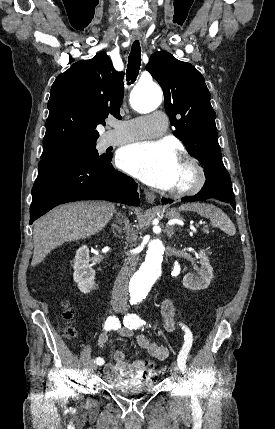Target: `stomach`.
Returning a JSON list of instances; mask_svg holds the SVG:
<instances>
[{
  "mask_svg": "<svg viewBox=\"0 0 275 429\" xmlns=\"http://www.w3.org/2000/svg\"><path fill=\"white\" fill-rule=\"evenodd\" d=\"M166 216L168 218L177 219L179 218V213L175 209H170L166 211Z\"/></svg>",
  "mask_w": 275,
  "mask_h": 429,
  "instance_id": "1",
  "label": "stomach"
}]
</instances>
